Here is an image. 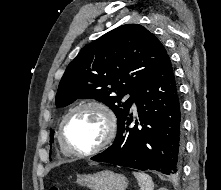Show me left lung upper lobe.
I'll use <instances>...</instances> for the list:
<instances>
[{
	"instance_id": "5c2ea615",
	"label": "left lung upper lobe",
	"mask_w": 221,
	"mask_h": 190,
	"mask_svg": "<svg viewBox=\"0 0 221 190\" xmlns=\"http://www.w3.org/2000/svg\"><path fill=\"white\" fill-rule=\"evenodd\" d=\"M161 42L138 24L122 25L87 44L61 78L55 105L93 98L115 113L118 123L129 112L138 89L163 62ZM129 94L130 98L123 99ZM50 133V141L53 138Z\"/></svg>"
}]
</instances>
